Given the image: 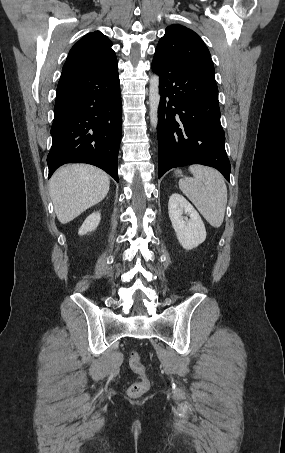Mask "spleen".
Segmentation results:
<instances>
[{"label": "spleen", "mask_w": 285, "mask_h": 453, "mask_svg": "<svg viewBox=\"0 0 285 453\" xmlns=\"http://www.w3.org/2000/svg\"><path fill=\"white\" fill-rule=\"evenodd\" d=\"M193 177L179 181V188L214 228L224 220L227 204V186L217 170L201 165L189 167Z\"/></svg>", "instance_id": "1"}]
</instances>
